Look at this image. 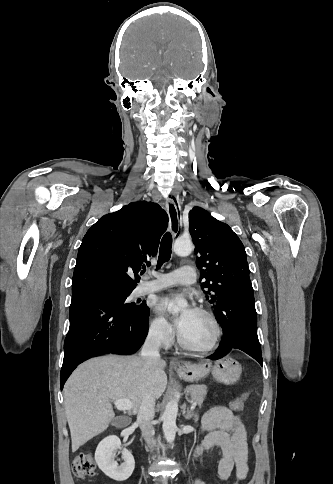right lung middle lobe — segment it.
<instances>
[{
	"label": "right lung middle lobe",
	"instance_id": "right-lung-middle-lobe-1",
	"mask_svg": "<svg viewBox=\"0 0 333 484\" xmlns=\"http://www.w3.org/2000/svg\"><path fill=\"white\" fill-rule=\"evenodd\" d=\"M102 294L111 298L113 303L120 309L132 313L138 317H144L149 314V308L145 303H125L126 298L131 292H117L113 290H100Z\"/></svg>",
	"mask_w": 333,
	"mask_h": 484
}]
</instances>
